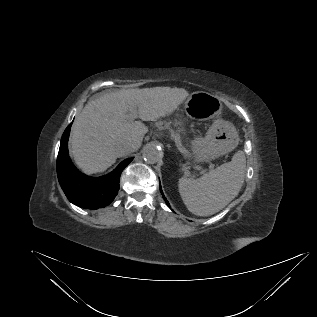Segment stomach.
<instances>
[{
  "label": "stomach",
  "mask_w": 317,
  "mask_h": 317,
  "mask_svg": "<svg viewBox=\"0 0 317 317\" xmlns=\"http://www.w3.org/2000/svg\"><path fill=\"white\" fill-rule=\"evenodd\" d=\"M189 102L201 104L206 110L205 119H213L205 137H196L190 142L195 162H204L232 151L239 143V135L230 122L219 118L222 104L218 97L203 91L191 94Z\"/></svg>",
  "instance_id": "obj_1"
}]
</instances>
